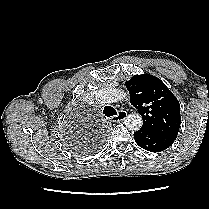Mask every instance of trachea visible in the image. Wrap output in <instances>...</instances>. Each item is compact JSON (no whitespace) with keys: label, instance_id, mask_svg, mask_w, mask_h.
Instances as JSON below:
<instances>
[{"label":"trachea","instance_id":"3493384b","mask_svg":"<svg viewBox=\"0 0 209 209\" xmlns=\"http://www.w3.org/2000/svg\"><path fill=\"white\" fill-rule=\"evenodd\" d=\"M103 114L107 117H110V116H113V115H117V112L113 107L105 106L104 110H103Z\"/></svg>","mask_w":209,"mask_h":209}]
</instances>
